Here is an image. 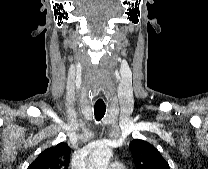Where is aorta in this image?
<instances>
[{
  "instance_id": "1",
  "label": "aorta",
  "mask_w": 208,
  "mask_h": 169,
  "mask_svg": "<svg viewBox=\"0 0 208 169\" xmlns=\"http://www.w3.org/2000/svg\"><path fill=\"white\" fill-rule=\"evenodd\" d=\"M111 157L112 150L109 146H98L89 158V169H107Z\"/></svg>"
}]
</instances>
